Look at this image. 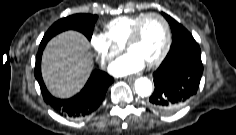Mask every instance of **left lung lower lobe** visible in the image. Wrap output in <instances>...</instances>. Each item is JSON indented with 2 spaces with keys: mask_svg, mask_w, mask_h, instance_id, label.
<instances>
[{
  "mask_svg": "<svg viewBox=\"0 0 236 135\" xmlns=\"http://www.w3.org/2000/svg\"><path fill=\"white\" fill-rule=\"evenodd\" d=\"M169 24L172 45L153 74L155 89L149 98V106L162 114L172 113L186 104L197 93L203 73L198 43L177 21Z\"/></svg>",
  "mask_w": 236,
  "mask_h": 135,
  "instance_id": "left-lung-lower-lobe-1",
  "label": "left lung lower lobe"
}]
</instances>
